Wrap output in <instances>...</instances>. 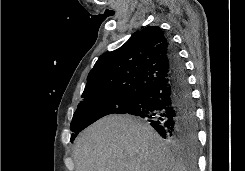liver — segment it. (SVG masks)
Returning <instances> with one entry per match:
<instances>
[{
  "instance_id": "liver-1",
  "label": "liver",
  "mask_w": 245,
  "mask_h": 171,
  "mask_svg": "<svg viewBox=\"0 0 245 171\" xmlns=\"http://www.w3.org/2000/svg\"><path fill=\"white\" fill-rule=\"evenodd\" d=\"M75 171H186L154 129L128 115L86 128L74 147Z\"/></svg>"
}]
</instances>
